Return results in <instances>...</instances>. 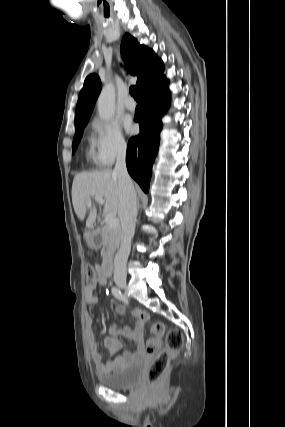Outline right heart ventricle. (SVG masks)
<instances>
[{
  "label": "right heart ventricle",
  "instance_id": "1",
  "mask_svg": "<svg viewBox=\"0 0 285 427\" xmlns=\"http://www.w3.org/2000/svg\"><path fill=\"white\" fill-rule=\"evenodd\" d=\"M87 157L88 158H90V159H92L94 162H96V163H100L99 161H98V158L96 157V155H95V152L92 150V149H89L88 150V152H87Z\"/></svg>",
  "mask_w": 285,
  "mask_h": 427
}]
</instances>
